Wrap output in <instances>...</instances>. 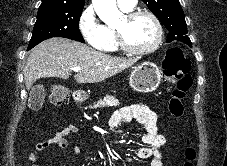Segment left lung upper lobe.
<instances>
[{
    "instance_id": "obj_1",
    "label": "left lung upper lobe",
    "mask_w": 227,
    "mask_h": 166,
    "mask_svg": "<svg viewBox=\"0 0 227 166\" xmlns=\"http://www.w3.org/2000/svg\"><path fill=\"white\" fill-rule=\"evenodd\" d=\"M168 30L167 42L177 40L192 46L178 0H142Z\"/></svg>"
}]
</instances>
